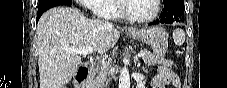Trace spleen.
Wrapping results in <instances>:
<instances>
[{"mask_svg":"<svg viewBox=\"0 0 227 88\" xmlns=\"http://www.w3.org/2000/svg\"><path fill=\"white\" fill-rule=\"evenodd\" d=\"M185 32L181 28H177L173 31L174 43L178 46H181L185 42Z\"/></svg>","mask_w":227,"mask_h":88,"instance_id":"obj_1","label":"spleen"}]
</instances>
